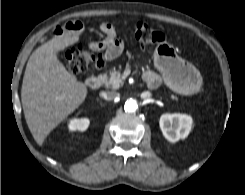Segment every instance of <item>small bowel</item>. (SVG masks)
Wrapping results in <instances>:
<instances>
[{
  "instance_id": "small-bowel-1",
  "label": "small bowel",
  "mask_w": 245,
  "mask_h": 195,
  "mask_svg": "<svg viewBox=\"0 0 245 195\" xmlns=\"http://www.w3.org/2000/svg\"><path fill=\"white\" fill-rule=\"evenodd\" d=\"M83 25L79 21H69L62 26L56 27L54 33L56 35L62 34H75L82 30ZM100 29L104 33L105 37L101 41L89 42V47L92 50H104L105 60L110 61L117 58L123 51L124 42L117 37L115 27L109 22H103L100 24ZM152 76L158 78V76L152 71H146V77ZM159 79V78H158Z\"/></svg>"
}]
</instances>
